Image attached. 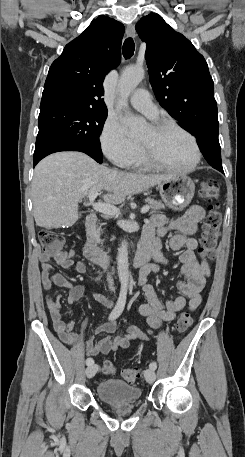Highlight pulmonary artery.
Returning <instances> with one entry per match:
<instances>
[{"instance_id":"e3ab8cb5","label":"pulmonary artery","mask_w":245,"mask_h":457,"mask_svg":"<svg viewBox=\"0 0 245 457\" xmlns=\"http://www.w3.org/2000/svg\"><path fill=\"white\" fill-rule=\"evenodd\" d=\"M130 104L149 117H155L157 115V109L154 106L150 93H146L144 86L137 88V93L129 97Z\"/></svg>"}]
</instances>
